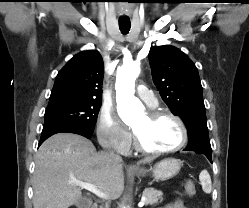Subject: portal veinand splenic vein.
<instances>
[{"label":"portal vein and splenic vein","mask_w":249,"mask_h":208,"mask_svg":"<svg viewBox=\"0 0 249 208\" xmlns=\"http://www.w3.org/2000/svg\"><path fill=\"white\" fill-rule=\"evenodd\" d=\"M74 184L78 185L79 187L86 189L90 192H92L93 194H95L96 196L102 198V199H108V196L100 191L95 185L90 184V183H86V182H82V181H73ZM145 204V199H142L139 203L138 206L139 207H143Z\"/></svg>","instance_id":"obj_1"}]
</instances>
